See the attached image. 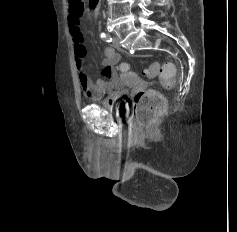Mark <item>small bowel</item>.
<instances>
[{
    "mask_svg": "<svg viewBox=\"0 0 237 232\" xmlns=\"http://www.w3.org/2000/svg\"><path fill=\"white\" fill-rule=\"evenodd\" d=\"M81 16L70 12L68 24L73 40L75 62L79 71V80L83 92L93 100H99L107 95L106 102L113 103L117 100L124 89V82L116 71V64L120 60L119 54L112 47L104 50L101 77L92 80L85 71L86 51L81 32Z\"/></svg>",
    "mask_w": 237,
    "mask_h": 232,
    "instance_id": "c3829d8e",
    "label": "small bowel"
}]
</instances>
